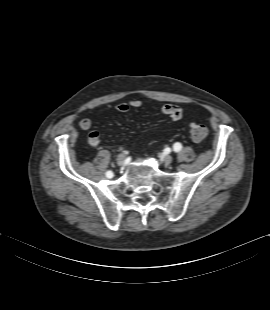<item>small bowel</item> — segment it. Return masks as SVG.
Here are the masks:
<instances>
[{
    "mask_svg": "<svg viewBox=\"0 0 270 310\" xmlns=\"http://www.w3.org/2000/svg\"><path fill=\"white\" fill-rule=\"evenodd\" d=\"M142 106V101L139 99H134L131 100L127 103H119L116 105L115 109L118 112L121 113H126L128 112L131 108H135L138 109ZM161 112L168 116L169 118H171L172 120H179L182 115H183V111L180 107H178L177 105L174 104H166L161 108ZM92 126V121L90 118H83L80 120L79 122V127L83 130H88L90 129ZM88 141L89 144L92 147H96L99 145L100 141H101V134L98 131H92L89 133L88 136Z\"/></svg>",
    "mask_w": 270,
    "mask_h": 310,
    "instance_id": "1",
    "label": "small bowel"
}]
</instances>
